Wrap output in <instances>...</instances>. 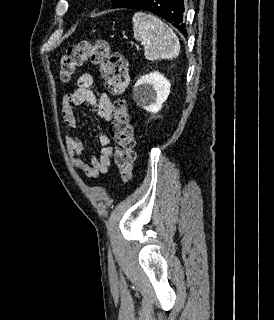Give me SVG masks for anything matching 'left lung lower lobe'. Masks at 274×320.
Listing matches in <instances>:
<instances>
[{"label": "left lung lower lobe", "mask_w": 274, "mask_h": 320, "mask_svg": "<svg viewBox=\"0 0 274 320\" xmlns=\"http://www.w3.org/2000/svg\"><path fill=\"white\" fill-rule=\"evenodd\" d=\"M122 8H133L150 11L172 23L183 34L186 33L183 23V0H130Z\"/></svg>", "instance_id": "obj_1"}]
</instances>
